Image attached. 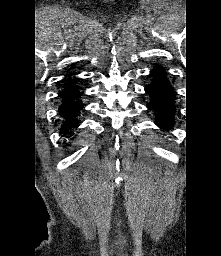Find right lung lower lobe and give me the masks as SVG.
<instances>
[{"label": "right lung lower lobe", "instance_id": "right-lung-lower-lobe-1", "mask_svg": "<svg viewBox=\"0 0 221 256\" xmlns=\"http://www.w3.org/2000/svg\"><path fill=\"white\" fill-rule=\"evenodd\" d=\"M81 92L74 93L62 98V104L59 106V113L64 118L61 133L64 135L70 134L72 128L78 127L79 121L77 116L83 108V103L78 99Z\"/></svg>", "mask_w": 221, "mask_h": 256}]
</instances>
